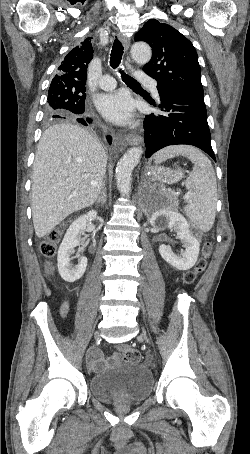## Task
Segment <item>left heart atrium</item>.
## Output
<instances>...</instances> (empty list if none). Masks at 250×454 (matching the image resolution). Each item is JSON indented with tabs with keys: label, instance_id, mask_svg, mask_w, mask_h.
Segmentation results:
<instances>
[{
	"label": "left heart atrium",
	"instance_id": "obj_1",
	"mask_svg": "<svg viewBox=\"0 0 250 454\" xmlns=\"http://www.w3.org/2000/svg\"><path fill=\"white\" fill-rule=\"evenodd\" d=\"M97 106L105 118L118 124L127 123L133 116L132 100L122 91L101 96Z\"/></svg>",
	"mask_w": 250,
	"mask_h": 454
}]
</instances>
